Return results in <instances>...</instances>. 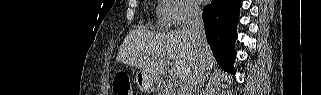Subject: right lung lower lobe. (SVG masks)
<instances>
[{
	"instance_id": "obj_1",
	"label": "right lung lower lobe",
	"mask_w": 321,
	"mask_h": 95,
	"mask_svg": "<svg viewBox=\"0 0 321 95\" xmlns=\"http://www.w3.org/2000/svg\"><path fill=\"white\" fill-rule=\"evenodd\" d=\"M241 5V0H212L203 11L206 38L215 59L224 70L234 74V43Z\"/></svg>"
}]
</instances>
